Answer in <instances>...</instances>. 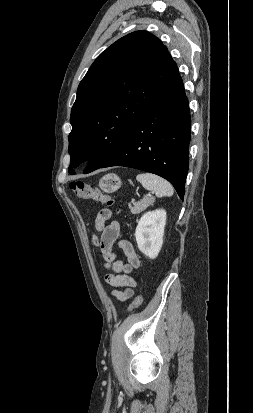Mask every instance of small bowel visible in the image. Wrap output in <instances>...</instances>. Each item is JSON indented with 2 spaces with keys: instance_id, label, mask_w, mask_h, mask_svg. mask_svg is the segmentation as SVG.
<instances>
[{
  "instance_id": "c3829d8e",
  "label": "small bowel",
  "mask_w": 253,
  "mask_h": 413,
  "mask_svg": "<svg viewBox=\"0 0 253 413\" xmlns=\"http://www.w3.org/2000/svg\"><path fill=\"white\" fill-rule=\"evenodd\" d=\"M111 216L112 213L109 209L99 211L95 220L98 236H94L93 241L100 248L105 265L110 270L106 280L116 288L112 292L113 296L120 301H125L134 295L133 287L136 285V281L130 274L140 266V259L133 245L127 240H121L118 243L119 249L126 257V262L116 259L114 244L119 237L120 224L116 220L110 221ZM118 288L124 289L119 290Z\"/></svg>"
}]
</instances>
